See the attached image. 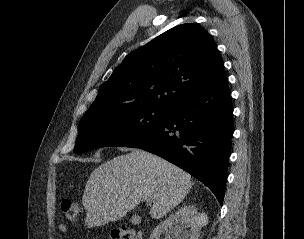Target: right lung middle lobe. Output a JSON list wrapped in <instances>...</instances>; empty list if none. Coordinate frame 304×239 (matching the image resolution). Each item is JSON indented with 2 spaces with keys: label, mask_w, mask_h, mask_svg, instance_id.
Wrapping results in <instances>:
<instances>
[{
  "label": "right lung middle lobe",
  "mask_w": 304,
  "mask_h": 239,
  "mask_svg": "<svg viewBox=\"0 0 304 239\" xmlns=\"http://www.w3.org/2000/svg\"><path fill=\"white\" fill-rule=\"evenodd\" d=\"M166 113L165 108L136 106L84 117L79 122L74 153L106 146H126L160 126Z\"/></svg>",
  "instance_id": "obj_1"
}]
</instances>
